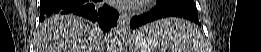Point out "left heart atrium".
Wrapping results in <instances>:
<instances>
[{"label":"left heart atrium","instance_id":"left-heart-atrium-1","mask_svg":"<svg viewBox=\"0 0 261 52\" xmlns=\"http://www.w3.org/2000/svg\"><path fill=\"white\" fill-rule=\"evenodd\" d=\"M145 2L146 0H117L115 4L119 8L132 9Z\"/></svg>","mask_w":261,"mask_h":52}]
</instances>
